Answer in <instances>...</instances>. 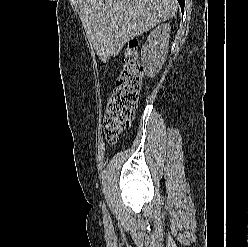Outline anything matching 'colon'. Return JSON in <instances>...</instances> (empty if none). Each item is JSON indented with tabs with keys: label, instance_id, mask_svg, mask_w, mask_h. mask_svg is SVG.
Instances as JSON below:
<instances>
[{
	"label": "colon",
	"instance_id": "obj_1",
	"mask_svg": "<svg viewBox=\"0 0 248 247\" xmlns=\"http://www.w3.org/2000/svg\"><path fill=\"white\" fill-rule=\"evenodd\" d=\"M142 75L137 41L132 40L124 53L123 71L105 107L103 129L109 143H115L131 124L141 90Z\"/></svg>",
	"mask_w": 248,
	"mask_h": 247
}]
</instances>
